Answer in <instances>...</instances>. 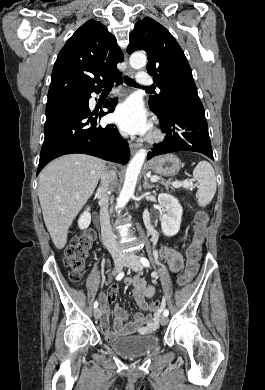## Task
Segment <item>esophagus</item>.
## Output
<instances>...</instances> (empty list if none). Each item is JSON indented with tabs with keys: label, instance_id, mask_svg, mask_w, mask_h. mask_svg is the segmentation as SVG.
Masks as SVG:
<instances>
[{
	"label": "esophagus",
	"instance_id": "esophagus-1",
	"mask_svg": "<svg viewBox=\"0 0 265 390\" xmlns=\"http://www.w3.org/2000/svg\"><path fill=\"white\" fill-rule=\"evenodd\" d=\"M127 61V59H126ZM126 73L128 76H133L134 75V71L133 69L130 67V66H127V70H126ZM138 145L135 144V143H130V150L132 153H134L137 149H138Z\"/></svg>",
	"mask_w": 265,
	"mask_h": 390
}]
</instances>
